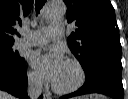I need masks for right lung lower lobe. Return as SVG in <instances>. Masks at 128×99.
<instances>
[{"label": "right lung lower lobe", "mask_w": 128, "mask_h": 99, "mask_svg": "<svg viewBox=\"0 0 128 99\" xmlns=\"http://www.w3.org/2000/svg\"><path fill=\"white\" fill-rule=\"evenodd\" d=\"M26 89L27 72L25 60L15 68L0 66V90L7 91L16 97L27 99Z\"/></svg>", "instance_id": "obj_1"}]
</instances>
